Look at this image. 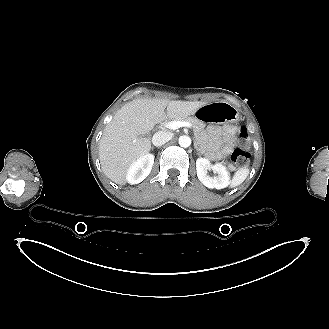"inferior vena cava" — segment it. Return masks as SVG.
Listing matches in <instances>:
<instances>
[{
    "label": "inferior vena cava",
    "instance_id": "obj_1",
    "mask_svg": "<svg viewBox=\"0 0 329 329\" xmlns=\"http://www.w3.org/2000/svg\"><path fill=\"white\" fill-rule=\"evenodd\" d=\"M170 139H172V134L170 132L166 131H159L156 132L152 137V143L155 146H162L166 142H168Z\"/></svg>",
    "mask_w": 329,
    "mask_h": 329
}]
</instances>
